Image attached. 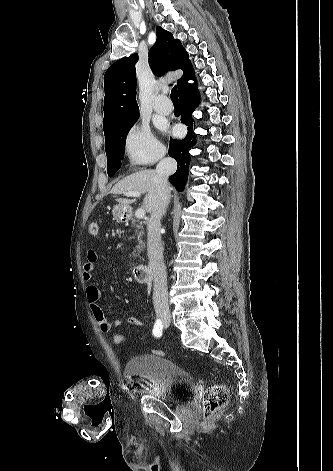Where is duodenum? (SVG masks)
Listing matches in <instances>:
<instances>
[{"mask_svg":"<svg viewBox=\"0 0 333 471\" xmlns=\"http://www.w3.org/2000/svg\"><path fill=\"white\" fill-rule=\"evenodd\" d=\"M132 274L138 283H146L150 277V269L146 264H138L133 268Z\"/></svg>","mask_w":333,"mask_h":471,"instance_id":"obj_1","label":"duodenum"}]
</instances>
